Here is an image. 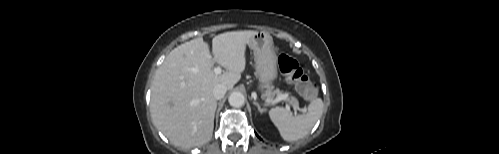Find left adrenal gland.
Wrapping results in <instances>:
<instances>
[{
    "label": "left adrenal gland",
    "instance_id": "obj_1",
    "mask_svg": "<svg viewBox=\"0 0 499 154\" xmlns=\"http://www.w3.org/2000/svg\"><path fill=\"white\" fill-rule=\"evenodd\" d=\"M253 103H254V105H256V106H257V108H258V110H259V112H260V113H263V112L265 111V109H262V108L260 107V105H259L256 101H254Z\"/></svg>",
    "mask_w": 499,
    "mask_h": 154
}]
</instances>
